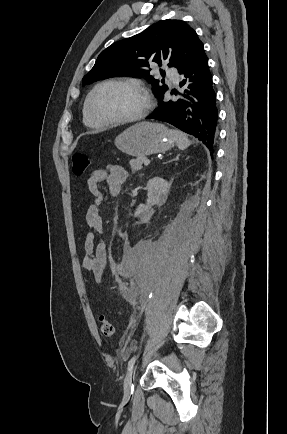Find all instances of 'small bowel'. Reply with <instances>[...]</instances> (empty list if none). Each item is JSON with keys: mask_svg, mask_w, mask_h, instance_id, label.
Instances as JSON below:
<instances>
[{"mask_svg": "<svg viewBox=\"0 0 287 434\" xmlns=\"http://www.w3.org/2000/svg\"><path fill=\"white\" fill-rule=\"evenodd\" d=\"M128 177L127 171L119 165H109L106 169L94 170L87 180L89 192L95 200L85 211V221L90 231L84 239V257L82 267L91 272L97 281H101L107 265V250L104 243L98 238L105 231L101 217V205L104 194L101 183H106L109 194L117 196Z\"/></svg>", "mask_w": 287, "mask_h": 434, "instance_id": "obj_1", "label": "small bowel"}]
</instances>
